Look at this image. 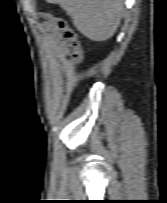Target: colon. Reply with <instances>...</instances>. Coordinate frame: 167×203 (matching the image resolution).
Instances as JSON below:
<instances>
[{
    "label": "colon",
    "instance_id": "obj_1",
    "mask_svg": "<svg viewBox=\"0 0 167 203\" xmlns=\"http://www.w3.org/2000/svg\"><path fill=\"white\" fill-rule=\"evenodd\" d=\"M43 17L55 26L62 38L69 44L73 50V59L76 63V66L79 68L82 65L84 55L75 31L63 18L50 13H43Z\"/></svg>",
    "mask_w": 167,
    "mask_h": 203
}]
</instances>
